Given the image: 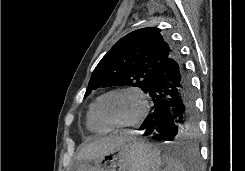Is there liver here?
Returning a JSON list of instances; mask_svg holds the SVG:
<instances>
[{
    "mask_svg": "<svg viewBox=\"0 0 245 171\" xmlns=\"http://www.w3.org/2000/svg\"><path fill=\"white\" fill-rule=\"evenodd\" d=\"M132 138L133 137L130 134L123 133L97 139L81 148L76 159L78 161L95 160L100 156L115 150L118 146Z\"/></svg>",
    "mask_w": 245,
    "mask_h": 171,
    "instance_id": "1",
    "label": "liver"
}]
</instances>
